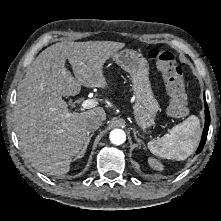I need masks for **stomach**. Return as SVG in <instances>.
Instances as JSON below:
<instances>
[{"instance_id": "0dacf381", "label": "stomach", "mask_w": 221, "mask_h": 221, "mask_svg": "<svg viewBox=\"0 0 221 221\" xmlns=\"http://www.w3.org/2000/svg\"><path fill=\"white\" fill-rule=\"evenodd\" d=\"M112 58L130 75L135 100L133 115L137 125L142 130L151 127L160 107L151 88L147 59L131 49L116 53Z\"/></svg>"}]
</instances>
